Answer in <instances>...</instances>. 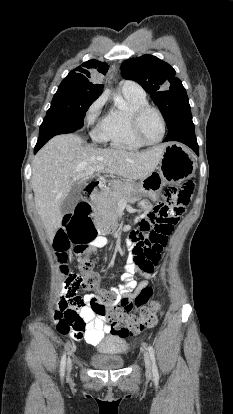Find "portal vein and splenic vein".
Listing matches in <instances>:
<instances>
[{
  "label": "portal vein and splenic vein",
  "mask_w": 233,
  "mask_h": 414,
  "mask_svg": "<svg viewBox=\"0 0 233 414\" xmlns=\"http://www.w3.org/2000/svg\"><path fill=\"white\" fill-rule=\"evenodd\" d=\"M102 170H103L102 166H97L93 169V171H97V172L102 171Z\"/></svg>",
  "instance_id": "1"
}]
</instances>
